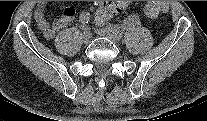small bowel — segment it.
<instances>
[{
	"label": "small bowel",
	"instance_id": "small-bowel-1",
	"mask_svg": "<svg viewBox=\"0 0 207 121\" xmlns=\"http://www.w3.org/2000/svg\"><path fill=\"white\" fill-rule=\"evenodd\" d=\"M102 4H111L116 7L115 14L122 13L126 8V2L120 1L115 3L110 2H102ZM45 8L46 3L40 2L37 5V8L34 13V19L37 24L38 29L41 31L42 35L47 39L51 40L55 37L56 33L67 27L71 21L73 20L76 10L74 7H67L65 8L62 16L55 19L52 23H50L45 16Z\"/></svg>",
	"mask_w": 207,
	"mask_h": 121
}]
</instances>
